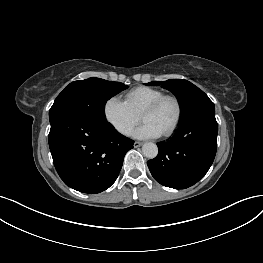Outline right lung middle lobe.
Wrapping results in <instances>:
<instances>
[{"mask_svg": "<svg viewBox=\"0 0 263 263\" xmlns=\"http://www.w3.org/2000/svg\"><path fill=\"white\" fill-rule=\"evenodd\" d=\"M128 86L100 78H88L70 83L55 99L49 111L50 123L63 116H82L106 121V101Z\"/></svg>", "mask_w": 263, "mask_h": 263, "instance_id": "dd1d6c3e", "label": "right lung middle lobe"}]
</instances>
